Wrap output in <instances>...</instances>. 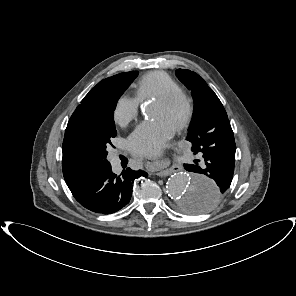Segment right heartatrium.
<instances>
[{
    "label": "right heart atrium",
    "mask_w": 296,
    "mask_h": 296,
    "mask_svg": "<svg viewBox=\"0 0 296 296\" xmlns=\"http://www.w3.org/2000/svg\"><path fill=\"white\" fill-rule=\"evenodd\" d=\"M138 112V101L131 96L123 95L114 106L113 118L117 125L126 127L137 118Z\"/></svg>",
    "instance_id": "1"
}]
</instances>
